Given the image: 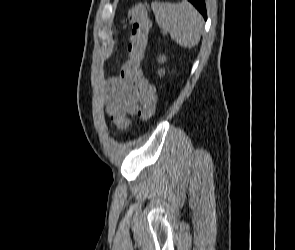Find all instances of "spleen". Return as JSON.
Here are the masks:
<instances>
[{
	"label": "spleen",
	"instance_id": "1",
	"mask_svg": "<svg viewBox=\"0 0 295 250\" xmlns=\"http://www.w3.org/2000/svg\"><path fill=\"white\" fill-rule=\"evenodd\" d=\"M151 7L157 24L169 32L177 44L189 49L198 44L202 33V18L187 0L181 3L154 1Z\"/></svg>",
	"mask_w": 295,
	"mask_h": 250
}]
</instances>
